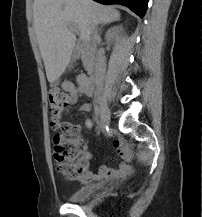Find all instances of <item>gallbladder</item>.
I'll return each instance as SVG.
<instances>
[{"label": "gallbladder", "mask_w": 202, "mask_h": 217, "mask_svg": "<svg viewBox=\"0 0 202 217\" xmlns=\"http://www.w3.org/2000/svg\"><path fill=\"white\" fill-rule=\"evenodd\" d=\"M69 68H72V65H70ZM58 83H59V81L56 80V81H54V82L52 83V86H56V85H58Z\"/></svg>", "instance_id": "gallbladder-1"}]
</instances>
